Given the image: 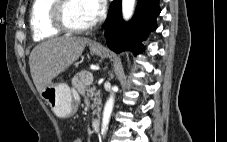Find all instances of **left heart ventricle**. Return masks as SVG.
I'll return each instance as SVG.
<instances>
[{
    "mask_svg": "<svg viewBox=\"0 0 227 142\" xmlns=\"http://www.w3.org/2000/svg\"><path fill=\"white\" fill-rule=\"evenodd\" d=\"M66 18L73 26H85L94 20L89 15L82 0H70L66 8Z\"/></svg>",
    "mask_w": 227,
    "mask_h": 142,
    "instance_id": "1",
    "label": "left heart ventricle"
}]
</instances>
